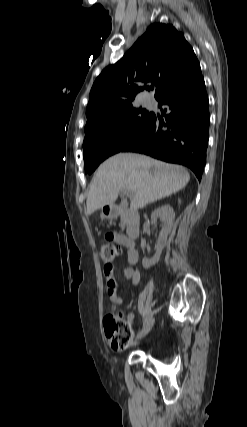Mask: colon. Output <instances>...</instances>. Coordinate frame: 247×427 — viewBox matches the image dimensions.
<instances>
[{
    "instance_id": "colon-1",
    "label": "colon",
    "mask_w": 247,
    "mask_h": 427,
    "mask_svg": "<svg viewBox=\"0 0 247 427\" xmlns=\"http://www.w3.org/2000/svg\"><path fill=\"white\" fill-rule=\"evenodd\" d=\"M119 249L113 243H105L99 248V257L105 264H110L118 254ZM105 334L114 350H125L132 340V329L128 322L114 313L104 318Z\"/></svg>"
}]
</instances>
